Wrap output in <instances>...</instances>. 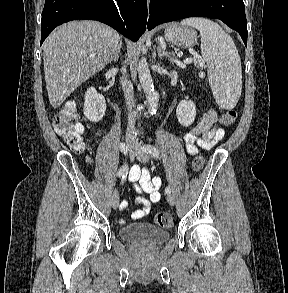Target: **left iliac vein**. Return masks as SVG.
Masks as SVG:
<instances>
[{"mask_svg": "<svg viewBox=\"0 0 288 293\" xmlns=\"http://www.w3.org/2000/svg\"><path fill=\"white\" fill-rule=\"evenodd\" d=\"M133 154L142 163H145V162L148 161V155L146 154V152H144L142 150V148H141V146H140L139 143H135L134 144V152H133ZM167 201H168V203L170 205H174L175 204V198L170 193L167 194Z\"/></svg>", "mask_w": 288, "mask_h": 293, "instance_id": "obj_1", "label": "left iliac vein"}]
</instances>
